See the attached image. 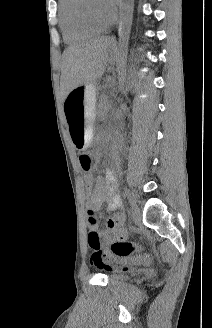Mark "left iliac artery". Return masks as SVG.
Instances as JSON below:
<instances>
[{
	"instance_id": "left-iliac-artery-1",
	"label": "left iliac artery",
	"mask_w": 212,
	"mask_h": 328,
	"mask_svg": "<svg viewBox=\"0 0 212 328\" xmlns=\"http://www.w3.org/2000/svg\"><path fill=\"white\" fill-rule=\"evenodd\" d=\"M125 195L127 196V198H128L129 200H131V199H130V193H129V191H128L127 189L125 190Z\"/></svg>"
}]
</instances>
